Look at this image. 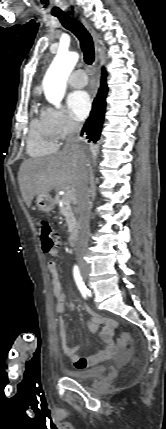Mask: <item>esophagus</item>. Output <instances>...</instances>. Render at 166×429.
<instances>
[{"mask_svg":"<svg viewBox=\"0 0 166 429\" xmlns=\"http://www.w3.org/2000/svg\"><path fill=\"white\" fill-rule=\"evenodd\" d=\"M79 20L86 27V29L89 31V33L91 34V36L94 40L95 50H96L95 64H97V62L99 60V55H100L99 37H98L97 33L93 30V28L88 24V22L83 17H79Z\"/></svg>","mask_w":166,"mask_h":429,"instance_id":"1","label":"esophagus"}]
</instances>
